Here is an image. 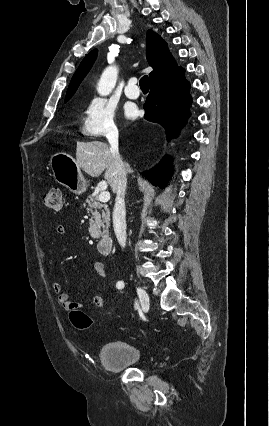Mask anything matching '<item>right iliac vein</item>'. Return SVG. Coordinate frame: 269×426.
Here are the masks:
<instances>
[{
  "label": "right iliac vein",
  "mask_w": 269,
  "mask_h": 426,
  "mask_svg": "<svg viewBox=\"0 0 269 426\" xmlns=\"http://www.w3.org/2000/svg\"><path fill=\"white\" fill-rule=\"evenodd\" d=\"M138 295L140 299V303L142 306V309L147 312L150 306V298L147 292L140 286H138Z\"/></svg>",
  "instance_id": "63e3f726"
}]
</instances>
